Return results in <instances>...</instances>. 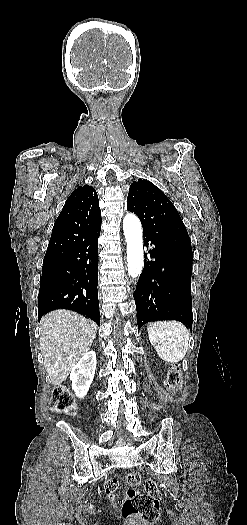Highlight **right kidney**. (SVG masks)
<instances>
[{
  "instance_id": "obj_1",
  "label": "right kidney",
  "mask_w": 247,
  "mask_h": 525,
  "mask_svg": "<svg viewBox=\"0 0 247 525\" xmlns=\"http://www.w3.org/2000/svg\"><path fill=\"white\" fill-rule=\"evenodd\" d=\"M96 365V353L95 351H89L73 367L70 373L71 389H73L78 399H84L85 395H87L95 377Z\"/></svg>"
}]
</instances>
